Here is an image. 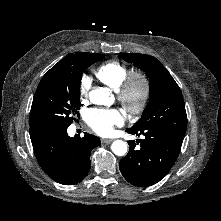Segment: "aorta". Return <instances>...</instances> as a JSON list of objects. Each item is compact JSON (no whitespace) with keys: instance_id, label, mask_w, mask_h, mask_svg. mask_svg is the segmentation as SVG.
I'll use <instances>...</instances> for the list:
<instances>
[{"instance_id":"aorta-1","label":"aorta","mask_w":221,"mask_h":221,"mask_svg":"<svg viewBox=\"0 0 221 221\" xmlns=\"http://www.w3.org/2000/svg\"><path fill=\"white\" fill-rule=\"evenodd\" d=\"M90 101L94 104L106 105L111 101L110 90L107 88L98 87L89 93ZM112 152L117 156H124L128 151L126 142L115 140L111 144Z\"/></svg>"}]
</instances>
